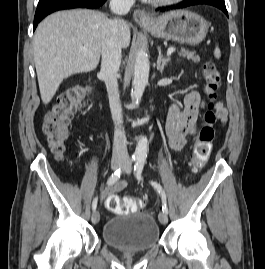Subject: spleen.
I'll list each match as a JSON object with an SVG mask.
<instances>
[{
  "label": "spleen",
  "instance_id": "spleen-1",
  "mask_svg": "<svg viewBox=\"0 0 265 269\" xmlns=\"http://www.w3.org/2000/svg\"><path fill=\"white\" fill-rule=\"evenodd\" d=\"M214 56L215 58L219 59L221 56V52L220 49L218 48V46H216L215 50H214Z\"/></svg>",
  "mask_w": 265,
  "mask_h": 269
}]
</instances>
